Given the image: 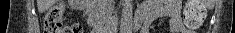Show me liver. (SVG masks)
<instances>
[{
  "label": "liver",
  "mask_w": 235,
  "mask_h": 33,
  "mask_svg": "<svg viewBox=\"0 0 235 33\" xmlns=\"http://www.w3.org/2000/svg\"><path fill=\"white\" fill-rule=\"evenodd\" d=\"M54 3H55V0H37V8H38L39 13L45 12Z\"/></svg>",
  "instance_id": "liver-1"
}]
</instances>
